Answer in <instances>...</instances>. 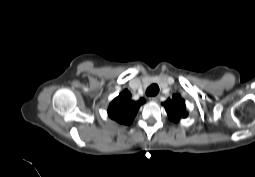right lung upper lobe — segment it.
<instances>
[{"label":"right lung upper lobe","mask_w":255,"mask_h":177,"mask_svg":"<svg viewBox=\"0 0 255 177\" xmlns=\"http://www.w3.org/2000/svg\"><path fill=\"white\" fill-rule=\"evenodd\" d=\"M143 103H145L143 98L133 101L131 93L125 89L110 103L108 116L120 124L130 125Z\"/></svg>","instance_id":"cb5924a9"}]
</instances>
